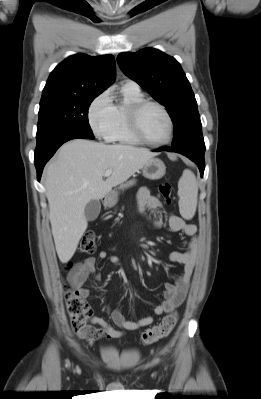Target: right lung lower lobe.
Returning <instances> with one entry per match:
<instances>
[{"label":"right lung lower lobe","instance_id":"obj_1","mask_svg":"<svg viewBox=\"0 0 261 399\" xmlns=\"http://www.w3.org/2000/svg\"><path fill=\"white\" fill-rule=\"evenodd\" d=\"M76 138L94 139V135L85 134L71 128H60L36 138L37 146L35 149L34 163L37 170L38 181H40L45 164L54 155L57 149L63 143Z\"/></svg>","mask_w":261,"mask_h":399}]
</instances>
